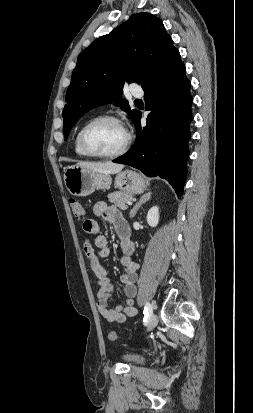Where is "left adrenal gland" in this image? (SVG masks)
<instances>
[{
	"instance_id": "1",
	"label": "left adrenal gland",
	"mask_w": 253,
	"mask_h": 413,
	"mask_svg": "<svg viewBox=\"0 0 253 413\" xmlns=\"http://www.w3.org/2000/svg\"><path fill=\"white\" fill-rule=\"evenodd\" d=\"M150 198H151V192H147V193L143 194L140 197L139 201L135 204L133 209L130 211V217L133 218L136 215L139 208L141 207V205L143 203H146L147 201H149Z\"/></svg>"
}]
</instances>
